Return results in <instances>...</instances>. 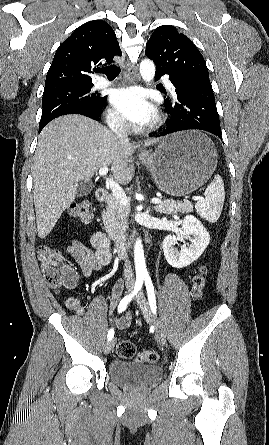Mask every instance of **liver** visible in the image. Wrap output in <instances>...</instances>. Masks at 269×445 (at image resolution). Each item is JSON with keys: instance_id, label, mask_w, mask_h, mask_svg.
Masks as SVG:
<instances>
[{"instance_id": "obj_1", "label": "liver", "mask_w": 269, "mask_h": 445, "mask_svg": "<svg viewBox=\"0 0 269 445\" xmlns=\"http://www.w3.org/2000/svg\"><path fill=\"white\" fill-rule=\"evenodd\" d=\"M137 147L85 116L66 115L50 122L39 136L32 169L38 236L45 238L52 231L75 200L78 182L90 180L98 169L111 165L120 184L131 182Z\"/></svg>"}]
</instances>
